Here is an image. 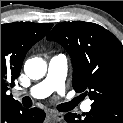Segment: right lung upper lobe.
<instances>
[{"instance_id": "1", "label": "right lung upper lobe", "mask_w": 123, "mask_h": 123, "mask_svg": "<svg viewBox=\"0 0 123 123\" xmlns=\"http://www.w3.org/2000/svg\"><path fill=\"white\" fill-rule=\"evenodd\" d=\"M52 26L31 22L1 24V105L19 103L7 90L19 76L26 53Z\"/></svg>"}]
</instances>
